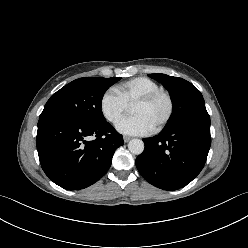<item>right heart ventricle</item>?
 Segmentation results:
<instances>
[{"label": "right heart ventricle", "mask_w": 248, "mask_h": 248, "mask_svg": "<svg viewBox=\"0 0 248 248\" xmlns=\"http://www.w3.org/2000/svg\"><path fill=\"white\" fill-rule=\"evenodd\" d=\"M159 89V84L154 80L147 77H136L117 85L114 90L129 106L139 98Z\"/></svg>", "instance_id": "1"}]
</instances>
